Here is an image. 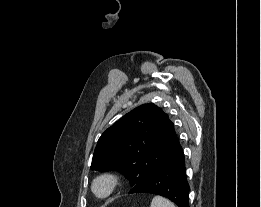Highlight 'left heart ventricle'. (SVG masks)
Returning a JSON list of instances; mask_svg holds the SVG:
<instances>
[{
    "instance_id": "b2bd125f",
    "label": "left heart ventricle",
    "mask_w": 261,
    "mask_h": 207,
    "mask_svg": "<svg viewBox=\"0 0 261 207\" xmlns=\"http://www.w3.org/2000/svg\"><path fill=\"white\" fill-rule=\"evenodd\" d=\"M103 190V187L102 186H99L98 187V191H102Z\"/></svg>"
}]
</instances>
